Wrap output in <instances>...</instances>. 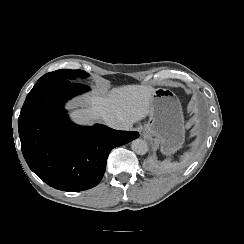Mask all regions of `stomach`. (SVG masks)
<instances>
[{
	"label": "stomach",
	"mask_w": 244,
	"mask_h": 244,
	"mask_svg": "<svg viewBox=\"0 0 244 244\" xmlns=\"http://www.w3.org/2000/svg\"><path fill=\"white\" fill-rule=\"evenodd\" d=\"M143 133L155 137L164 155L170 156L182 148L185 142L184 116L179 98L172 90L154 89L149 121L144 125Z\"/></svg>",
	"instance_id": "0dacf381"
}]
</instances>
